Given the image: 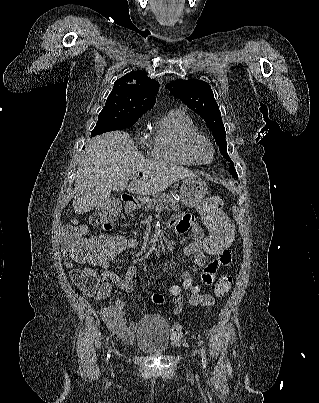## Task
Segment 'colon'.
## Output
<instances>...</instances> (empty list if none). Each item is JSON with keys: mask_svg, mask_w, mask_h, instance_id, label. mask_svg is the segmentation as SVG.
Returning <instances> with one entry per match:
<instances>
[{"mask_svg": "<svg viewBox=\"0 0 319 403\" xmlns=\"http://www.w3.org/2000/svg\"><path fill=\"white\" fill-rule=\"evenodd\" d=\"M222 205L223 200L219 196H211L200 205L199 211L208 229L206 232L207 249L200 261L202 266L213 264L214 258L220 257V251H223L225 247H230L231 243H235L236 240L235 234H233L234 222L231 218H225ZM105 206L106 210L97 213L92 218V223L102 228L97 230V234H88L86 239L81 228L76 224L63 228L62 246L72 260L84 263L99 258H125L126 254L136 253L137 240H134V235L121 234L119 229H112L118 210L123 209V202H108ZM200 276L199 271H196L194 275H182L181 282L170 283V290L178 291V300H192L193 296H201L204 277H201V282H198ZM71 279L82 292L88 295H94L96 286L100 285L96 273L88 268L73 270ZM232 283V276H222L215 285L216 296H225ZM152 300L156 304H163L164 296L155 293ZM181 306H184V303H181ZM170 339L175 345L184 342V329L180 324L172 325Z\"/></svg>", "mask_w": 319, "mask_h": 403, "instance_id": "5ec220e1", "label": "colon"}]
</instances>
